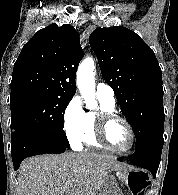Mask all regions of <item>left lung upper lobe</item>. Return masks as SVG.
I'll list each match as a JSON object with an SVG mask.
<instances>
[{
  "label": "left lung upper lobe",
  "mask_w": 178,
  "mask_h": 195,
  "mask_svg": "<svg viewBox=\"0 0 178 195\" xmlns=\"http://www.w3.org/2000/svg\"><path fill=\"white\" fill-rule=\"evenodd\" d=\"M89 43L136 137L135 151L162 143V73L153 50L125 27L97 28Z\"/></svg>",
  "instance_id": "5c2ea615"
}]
</instances>
